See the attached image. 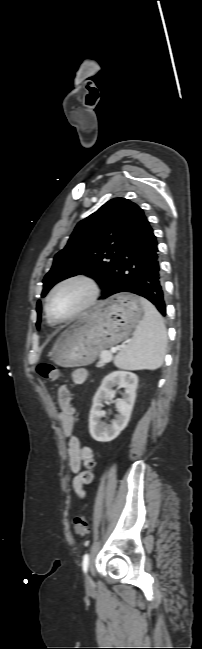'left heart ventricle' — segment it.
I'll return each instance as SVG.
<instances>
[{"mask_svg": "<svg viewBox=\"0 0 202 649\" xmlns=\"http://www.w3.org/2000/svg\"><path fill=\"white\" fill-rule=\"evenodd\" d=\"M89 297L88 287L81 282H72L61 287L49 302L51 313L57 318L73 314Z\"/></svg>", "mask_w": 202, "mask_h": 649, "instance_id": "b2bd125f", "label": "left heart ventricle"}]
</instances>
